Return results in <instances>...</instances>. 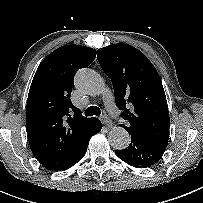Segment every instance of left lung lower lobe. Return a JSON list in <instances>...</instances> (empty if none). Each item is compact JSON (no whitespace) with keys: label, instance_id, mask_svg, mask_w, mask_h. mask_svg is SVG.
Wrapping results in <instances>:
<instances>
[{"label":"left lung lower lobe","instance_id":"left-lung-lower-lobe-1","mask_svg":"<svg viewBox=\"0 0 203 203\" xmlns=\"http://www.w3.org/2000/svg\"><path fill=\"white\" fill-rule=\"evenodd\" d=\"M166 147L141 135L131 134V143L128 148L116 150L115 153L133 167L147 168L160 160Z\"/></svg>","mask_w":203,"mask_h":203}]
</instances>
